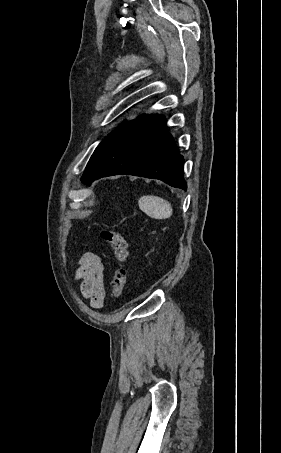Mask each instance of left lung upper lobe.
<instances>
[{
	"mask_svg": "<svg viewBox=\"0 0 281 453\" xmlns=\"http://www.w3.org/2000/svg\"><path fill=\"white\" fill-rule=\"evenodd\" d=\"M109 136H110V135H109ZM109 136H108V137H109ZM108 137H107V138H108ZM107 138H105V139L98 145V147H97L96 150L94 151L93 155L91 156L90 160H91V159L96 155V153L100 150V148L103 146V144L105 143V141L107 140ZM90 160H89V161H90Z\"/></svg>",
	"mask_w": 281,
	"mask_h": 453,
	"instance_id": "1",
	"label": "left lung upper lobe"
}]
</instances>
